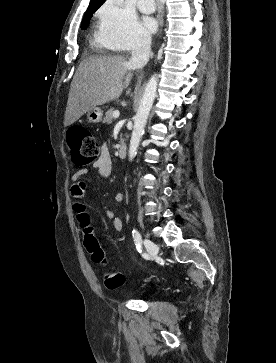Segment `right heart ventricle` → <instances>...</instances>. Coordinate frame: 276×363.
<instances>
[{"mask_svg": "<svg viewBox=\"0 0 276 363\" xmlns=\"http://www.w3.org/2000/svg\"><path fill=\"white\" fill-rule=\"evenodd\" d=\"M95 45L100 49H115V46L106 42L100 35V33L96 34L94 37Z\"/></svg>", "mask_w": 276, "mask_h": 363, "instance_id": "obj_1", "label": "right heart ventricle"}]
</instances>
